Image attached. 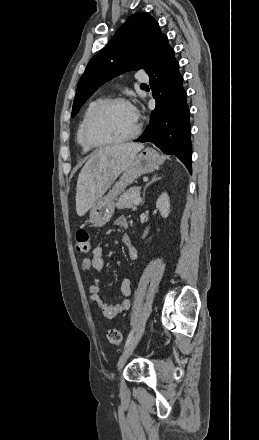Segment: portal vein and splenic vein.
Segmentation results:
<instances>
[{"label": "portal vein and splenic vein", "instance_id": "1", "mask_svg": "<svg viewBox=\"0 0 259 440\" xmlns=\"http://www.w3.org/2000/svg\"><path fill=\"white\" fill-rule=\"evenodd\" d=\"M141 202V198L138 196L136 197V199L134 200V205H139Z\"/></svg>", "mask_w": 259, "mask_h": 440}]
</instances>
